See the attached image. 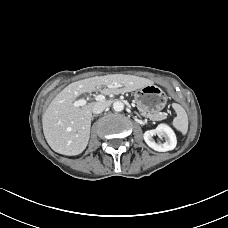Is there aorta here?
<instances>
[{"instance_id": "aorta-1", "label": "aorta", "mask_w": 228, "mask_h": 228, "mask_svg": "<svg viewBox=\"0 0 228 228\" xmlns=\"http://www.w3.org/2000/svg\"><path fill=\"white\" fill-rule=\"evenodd\" d=\"M113 109L116 112H120L124 109V104L121 101H116L113 103Z\"/></svg>"}]
</instances>
